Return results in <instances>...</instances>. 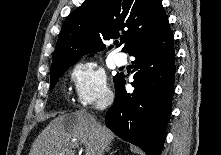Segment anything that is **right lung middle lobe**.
Here are the masks:
<instances>
[{
	"label": "right lung middle lobe",
	"instance_id": "dd1d6c3e",
	"mask_svg": "<svg viewBox=\"0 0 221 155\" xmlns=\"http://www.w3.org/2000/svg\"><path fill=\"white\" fill-rule=\"evenodd\" d=\"M73 64L70 65H65V66H61L59 68H56L54 70L50 71V90L53 89V87L55 86L56 82L58 81V79L65 73L66 70L69 69L70 66H72ZM118 75V74H117ZM116 75V76H117ZM115 76V77H116ZM114 77V78H115Z\"/></svg>",
	"mask_w": 221,
	"mask_h": 155
}]
</instances>
